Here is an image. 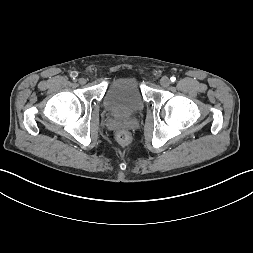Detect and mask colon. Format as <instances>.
I'll use <instances>...</instances> for the list:
<instances>
[{"label":"colon","mask_w":253,"mask_h":253,"mask_svg":"<svg viewBox=\"0 0 253 253\" xmlns=\"http://www.w3.org/2000/svg\"><path fill=\"white\" fill-rule=\"evenodd\" d=\"M116 137L118 141L121 142L122 144H128L131 141V135L126 130L118 131Z\"/></svg>","instance_id":"colon-1"}]
</instances>
